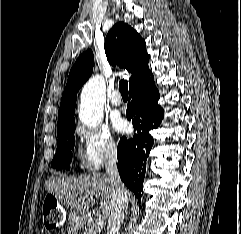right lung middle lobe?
Masks as SVG:
<instances>
[{
  "mask_svg": "<svg viewBox=\"0 0 241 234\" xmlns=\"http://www.w3.org/2000/svg\"><path fill=\"white\" fill-rule=\"evenodd\" d=\"M74 132L75 125L57 131V151L51 163L52 167L56 169H70V158L75 145V138L73 135Z\"/></svg>",
  "mask_w": 241,
  "mask_h": 234,
  "instance_id": "dd1d6c3e",
  "label": "right lung middle lobe"
}]
</instances>
